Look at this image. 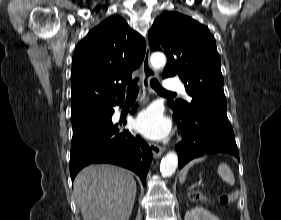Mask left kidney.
I'll return each instance as SVG.
<instances>
[{"label":"left kidney","instance_id":"1","mask_svg":"<svg viewBox=\"0 0 281 220\" xmlns=\"http://www.w3.org/2000/svg\"><path fill=\"white\" fill-rule=\"evenodd\" d=\"M184 220H220L203 207H195L187 211Z\"/></svg>","mask_w":281,"mask_h":220}]
</instances>
